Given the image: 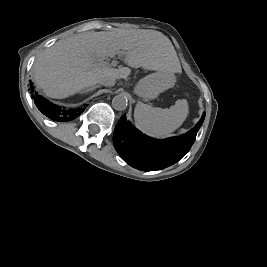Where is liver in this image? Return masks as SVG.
I'll return each mask as SVG.
<instances>
[{
    "instance_id": "obj_1",
    "label": "liver",
    "mask_w": 267,
    "mask_h": 267,
    "mask_svg": "<svg viewBox=\"0 0 267 267\" xmlns=\"http://www.w3.org/2000/svg\"><path fill=\"white\" fill-rule=\"evenodd\" d=\"M122 55L133 68L180 72L171 41L155 30L86 32L57 41L41 52L32 67L36 84L51 98L62 99L92 87L102 77L124 79L131 69L99 64L98 60Z\"/></svg>"
}]
</instances>
